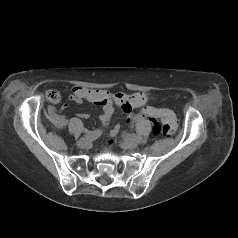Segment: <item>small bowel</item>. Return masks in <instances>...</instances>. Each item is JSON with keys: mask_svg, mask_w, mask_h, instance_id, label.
<instances>
[{"mask_svg": "<svg viewBox=\"0 0 238 238\" xmlns=\"http://www.w3.org/2000/svg\"><path fill=\"white\" fill-rule=\"evenodd\" d=\"M69 99L78 104L88 101L101 106L102 114L100 116V121L104 127H107L114 111V102L126 113H128L127 123L131 124L138 118L131 114L132 110L145 105L148 101V96L144 93H134L131 95L117 93L112 96L108 91L105 90L75 86L72 89V94L70 95ZM49 112L52 122L57 127L63 128L67 125V119L63 115L59 114L55 108H50ZM78 116L84 119L89 117V115L86 113H80ZM118 131L119 125H116L110 133L111 135H115Z\"/></svg>", "mask_w": 238, "mask_h": 238, "instance_id": "1", "label": "small bowel"}]
</instances>
